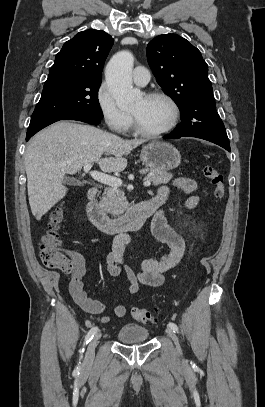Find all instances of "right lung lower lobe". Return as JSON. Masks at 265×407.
Wrapping results in <instances>:
<instances>
[{"label":"right lung lower lobe","instance_id":"1","mask_svg":"<svg viewBox=\"0 0 265 407\" xmlns=\"http://www.w3.org/2000/svg\"><path fill=\"white\" fill-rule=\"evenodd\" d=\"M69 120H78V121H82V122H86L92 125H98L101 122V119L93 117V116H88V115H78V116H73L70 118H67ZM34 134H28L26 136V140H29L30 137H32Z\"/></svg>","mask_w":265,"mask_h":407}]
</instances>
